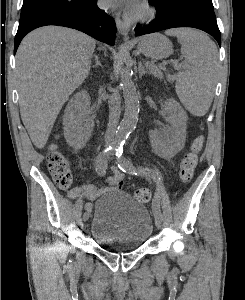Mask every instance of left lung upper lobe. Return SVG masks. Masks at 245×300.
<instances>
[{
    "label": "left lung upper lobe",
    "instance_id": "obj_1",
    "mask_svg": "<svg viewBox=\"0 0 245 300\" xmlns=\"http://www.w3.org/2000/svg\"><path fill=\"white\" fill-rule=\"evenodd\" d=\"M169 2H175V1H186V2H193V3H198L210 8H213L212 0H166Z\"/></svg>",
    "mask_w": 245,
    "mask_h": 300
}]
</instances>
